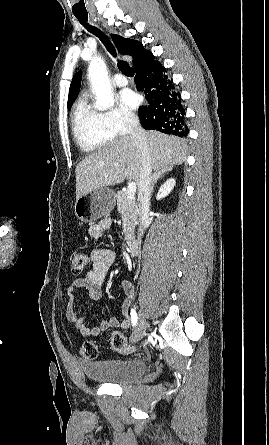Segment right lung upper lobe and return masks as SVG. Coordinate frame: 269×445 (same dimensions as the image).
<instances>
[{"label":"right lung upper lobe","instance_id":"1","mask_svg":"<svg viewBox=\"0 0 269 445\" xmlns=\"http://www.w3.org/2000/svg\"><path fill=\"white\" fill-rule=\"evenodd\" d=\"M112 40L117 47L118 51L122 55H129L133 58V69L148 59L153 57V54L143 48V45L139 41H135L128 38H123L119 35L112 34ZM81 84V72H77L71 82L69 89L68 103H73L74 99L78 95Z\"/></svg>","mask_w":269,"mask_h":445}]
</instances>
